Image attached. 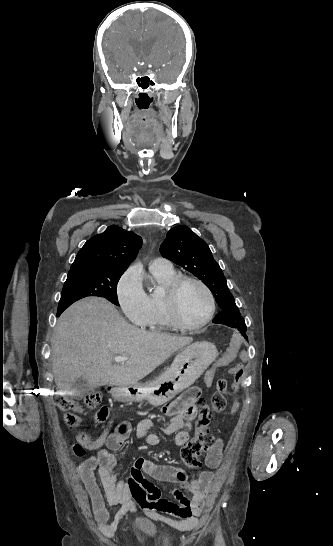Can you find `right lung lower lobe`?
<instances>
[{"mask_svg":"<svg viewBox=\"0 0 333 546\" xmlns=\"http://www.w3.org/2000/svg\"><path fill=\"white\" fill-rule=\"evenodd\" d=\"M63 311H64V310H58L57 316H60V314H61Z\"/></svg>","mask_w":333,"mask_h":546,"instance_id":"right-lung-lower-lobe-1","label":"right lung lower lobe"}]
</instances>
